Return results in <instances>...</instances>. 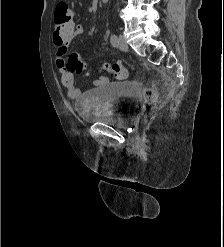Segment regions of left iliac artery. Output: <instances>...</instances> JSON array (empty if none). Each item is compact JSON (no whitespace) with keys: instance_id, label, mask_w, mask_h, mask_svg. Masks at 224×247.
<instances>
[{"instance_id":"left-iliac-artery-1","label":"left iliac artery","mask_w":224,"mask_h":247,"mask_svg":"<svg viewBox=\"0 0 224 247\" xmlns=\"http://www.w3.org/2000/svg\"><path fill=\"white\" fill-rule=\"evenodd\" d=\"M110 41H111V44H112L114 47H117V36H116L115 34H112V35H111Z\"/></svg>"}]
</instances>
